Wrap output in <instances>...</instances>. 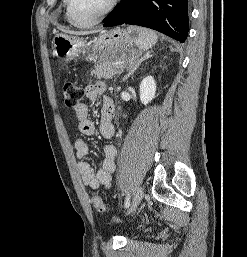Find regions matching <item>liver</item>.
<instances>
[{"instance_id": "1", "label": "liver", "mask_w": 247, "mask_h": 257, "mask_svg": "<svg viewBox=\"0 0 247 257\" xmlns=\"http://www.w3.org/2000/svg\"><path fill=\"white\" fill-rule=\"evenodd\" d=\"M60 30H62L65 33L74 34V35H88V34H92L95 32V31H70V30L63 29V28H60Z\"/></svg>"}]
</instances>
